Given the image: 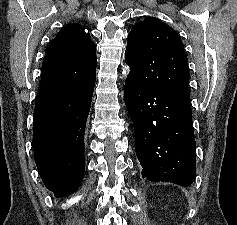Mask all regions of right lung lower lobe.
<instances>
[{"mask_svg": "<svg viewBox=\"0 0 237 225\" xmlns=\"http://www.w3.org/2000/svg\"><path fill=\"white\" fill-rule=\"evenodd\" d=\"M95 80L75 90L36 96L33 115L35 162L56 198L73 193L84 169V133Z\"/></svg>", "mask_w": 237, "mask_h": 225, "instance_id": "right-lung-lower-lobe-1", "label": "right lung lower lobe"}]
</instances>
